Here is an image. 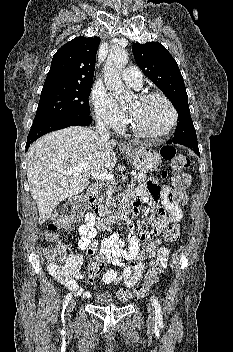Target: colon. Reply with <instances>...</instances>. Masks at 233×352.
<instances>
[{
  "label": "colon",
  "mask_w": 233,
  "mask_h": 352,
  "mask_svg": "<svg viewBox=\"0 0 233 352\" xmlns=\"http://www.w3.org/2000/svg\"><path fill=\"white\" fill-rule=\"evenodd\" d=\"M161 157L176 171L173 177L174 191L171 194V200L183 205L187 201L186 188L189 185V177L182 173L181 170L189 165V159L183 154L178 153L175 147L165 145L161 148ZM166 176V172L163 173ZM85 210V201L83 197H76L72 201L71 208L65 214H55L51 223L47 228V238L52 242L51 245L43 248V254L48 261V268L50 273L57 279L69 277L73 271V266L68 262L64 255V249L61 242L58 240L57 232L60 228L67 227L70 223L78 221ZM180 234L179 226L174 224L169 226L165 233L164 239L167 242H172L178 239ZM108 264L107 257L99 253L95 255L88 265V280L94 283L95 278L101 273L103 268ZM163 265L155 261L151 264L149 270L145 275L144 284L139 286L135 293H131L126 289H121L117 292L120 299L126 300L133 295L144 296L147 294L150 286L157 283L159 277L163 272Z\"/></svg>",
  "instance_id": "1"
}]
</instances>
